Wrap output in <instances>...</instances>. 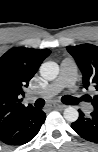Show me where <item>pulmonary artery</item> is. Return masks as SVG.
<instances>
[{"instance_id": "obj_1", "label": "pulmonary artery", "mask_w": 98, "mask_h": 152, "mask_svg": "<svg viewBox=\"0 0 98 152\" xmlns=\"http://www.w3.org/2000/svg\"><path fill=\"white\" fill-rule=\"evenodd\" d=\"M76 78L72 69V66L67 61H63L61 63L60 67V74L56 80H54L52 83L44 87L38 92L39 96L42 97H51L56 95L58 92H60L64 88H69L71 93L73 94V97L76 101L77 97H79V94L76 91ZM82 103H84L82 101Z\"/></svg>"}]
</instances>
